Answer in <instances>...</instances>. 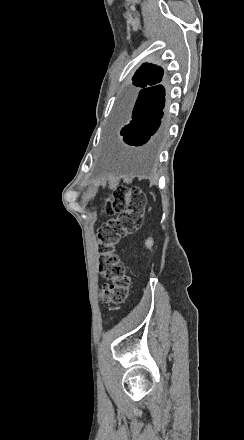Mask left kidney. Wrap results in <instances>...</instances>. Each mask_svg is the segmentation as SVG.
Instances as JSON below:
<instances>
[{"instance_id": "obj_1", "label": "left kidney", "mask_w": 244, "mask_h": 440, "mask_svg": "<svg viewBox=\"0 0 244 440\" xmlns=\"http://www.w3.org/2000/svg\"><path fill=\"white\" fill-rule=\"evenodd\" d=\"M153 244H154V242H153L152 238H148V240H146V242H145V246H146V248H149V250H150V248H152Z\"/></svg>"}]
</instances>
